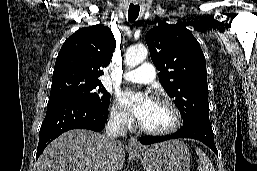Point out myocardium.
<instances>
[{"label":"myocardium","mask_w":257,"mask_h":171,"mask_svg":"<svg viewBox=\"0 0 257 171\" xmlns=\"http://www.w3.org/2000/svg\"><path fill=\"white\" fill-rule=\"evenodd\" d=\"M155 102L165 104L166 106H168L170 108V110L172 111V113L174 115L173 123L169 127L164 128V129H151V128H147V127L143 126L141 124V122H139V124H138L139 129L144 133L151 134V135H158V136L169 135V134L176 132L182 124V114H181L178 106L174 103L173 100H171L168 97H158L155 100Z\"/></svg>","instance_id":"obj_1"}]
</instances>
